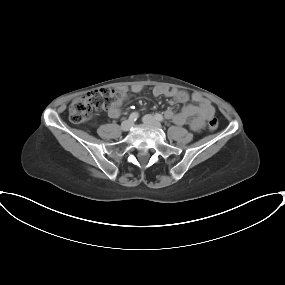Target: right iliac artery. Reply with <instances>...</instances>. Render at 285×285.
<instances>
[{
  "label": "right iliac artery",
  "mask_w": 285,
  "mask_h": 285,
  "mask_svg": "<svg viewBox=\"0 0 285 285\" xmlns=\"http://www.w3.org/2000/svg\"><path fill=\"white\" fill-rule=\"evenodd\" d=\"M138 117H139V114L137 112H133V113L130 114L129 120L134 122V121H136L138 119Z\"/></svg>",
  "instance_id": "obj_1"
}]
</instances>
